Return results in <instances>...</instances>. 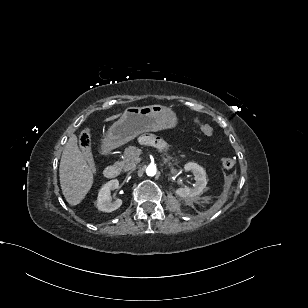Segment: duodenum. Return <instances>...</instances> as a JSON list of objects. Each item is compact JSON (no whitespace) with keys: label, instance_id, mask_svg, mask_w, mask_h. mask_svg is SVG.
Masks as SVG:
<instances>
[{"label":"duodenum","instance_id":"1","mask_svg":"<svg viewBox=\"0 0 308 308\" xmlns=\"http://www.w3.org/2000/svg\"><path fill=\"white\" fill-rule=\"evenodd\" d=\"M120 174V168L118 165H109L104 170V176L108 179H115Z\"/></svg>","mask_w":308,"mask_h":308}]
</instances>
